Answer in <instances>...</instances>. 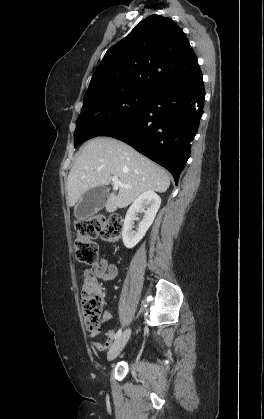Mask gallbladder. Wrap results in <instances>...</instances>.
I'll return each instance as SVG.
<instances>
[{
    "mask_svg": "<svg viewBox=\"0 0 264 419\" xmlns=\"http://www.w3.org/2000/svg\"><path fill=\"white\" fill-rule=\"evenodd\" d=\"M109 197V190L105 186L92 188L85 192L75 207L74 215L80 220L93 216L102 209Z\"/></svg>",
    "mask_w": 264,
    "mask_h": 419,
    "instance_id": "gallbladder-1",
    "label": "gallbladder"
}]
</instances>
